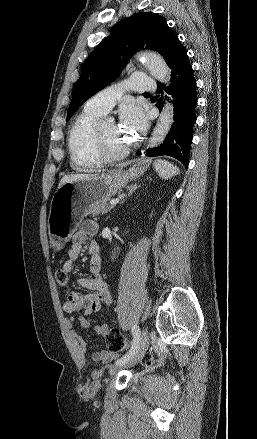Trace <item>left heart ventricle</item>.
<instances>
[{"instance_id": "1", "label": "left heart ventricle", "mask_w": 257, "mask_h": 439, "mask_svg": "<svg viewBox=\"0 0 257 439\" xmlns=\"http://www.w3.org/2000/svg\"><path fill=\"white\" fill-rule=\"evenodd\" d=\"M108 147L112 150H118L127 146L126 140L122 137L119 128L115 124H110L101 129Z\"/></svg>"}]
</instances>
